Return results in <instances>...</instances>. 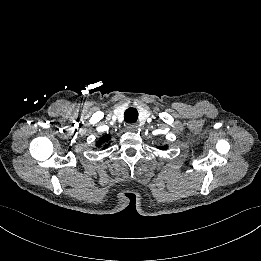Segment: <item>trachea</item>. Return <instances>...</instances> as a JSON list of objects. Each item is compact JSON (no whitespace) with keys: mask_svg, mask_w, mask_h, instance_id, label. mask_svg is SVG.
<instances>
[{"mask_svg":"<svg viewBox=\"0 0 261 261\" xmlns=\"http://www.w3.org/2000/svg\"><path fill=\"white\" fill-rule=\"evenodd\" d=\"M138 119L137 109L130 107L125 111L124 120L128 123H135Z\"/></svg>","mask_w":261,"mask_h":261,"instance_id":"trachea-1","label":"trachea"}]
</instances>
